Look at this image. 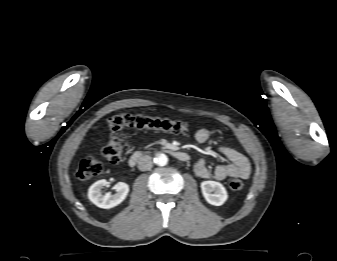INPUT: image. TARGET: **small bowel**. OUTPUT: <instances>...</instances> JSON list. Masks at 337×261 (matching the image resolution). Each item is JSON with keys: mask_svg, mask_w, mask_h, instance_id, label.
I'll list each match as a JSON object with an SVG mask.
<instances>
[{"mask_svg": "<svg viewBox=\"0 0 337 261\" xmlns=\"http://www.w3.org/2000/svg\"><path fill=\"white\" fill-rule=\"evenodd\" d=\"M210 137V130L201 128L195 133V139L199 143L206 142ZM217 154L226 158L229 163L221 164L215 167L211 172L206 164L205 159L201 158L194 163L195 174L203 179L213 176L216 180L222 181L226 178L247 179L251 174V164L249 159L241 152L234 148L221 146L216 150Z\"/></svg>", "mask_w": 337, "mask_h": 261, "instance_id": "obj_1", "label": "small bowel"}]
</instances>
